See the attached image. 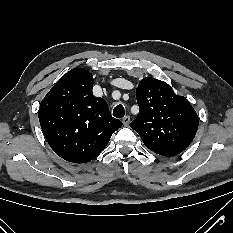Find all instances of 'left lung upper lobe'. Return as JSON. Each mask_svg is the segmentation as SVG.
Wrapping results in <instances>:
<instances>
[{
	"label": "left lung upper lobe",
	"instance_id": "5c2ea615",
	"mask_svg": "<svg viewBox=\"0 0 233 233\" xmlns=\"http://www.w3.org/2000/svg\"><path fill=\"white\" fill-rule=\"evenodd\" d=\"M139 113L130 123L151 151L166 157L181 153L193 140L199 118L190 102L167 83L147 77L136 89Z\"/></svg>",
	"mask_w": 233,
	"mask_h": 233
}]
</instances>
